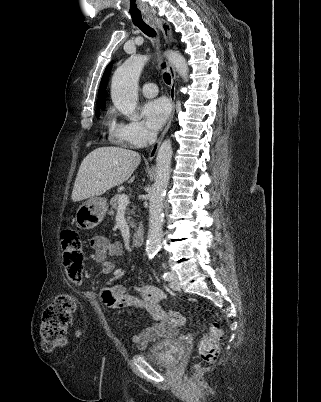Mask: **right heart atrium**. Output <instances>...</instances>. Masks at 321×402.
<instances>
[{"mask_svg": "<svg viewBox=\"0 0 321 402\" xmlns=\"http://www.w3.org/2000/svg\"><path fill=\"white\" fill-rule=\"evenodd\" d=\"M113 135L124 145L141 148L153 140V133L138 120H127L117 124Z\"/></svg>", "mask_w": 321, "mask_h": 402, "instance_id": "1", "label": "right heart atrium"}]
</instances>
